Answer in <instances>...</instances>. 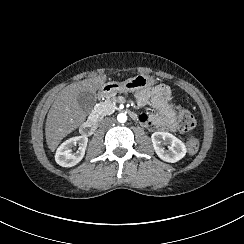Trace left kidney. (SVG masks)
I'll list each match as a JSON object with an SVG mask.
<instances>
[{"instance_id":"1","label":"left kidney","mask_w":244,"mask_h":244,"mask_svg":"<svg viewBox=\"0 0 244 244\" xmlns=\"http://www.w3.org/2000/svg\"><path fill=\"white\" fill-rule=\"evenodd\" d=\"M160 140H167L170 142L168 150H164V148L160 146ZM151 141L155 153L164 162L177 163L183 159L187 153L185 144L169 132H154L151 135Z\"/></svg>"}]
</instances>
